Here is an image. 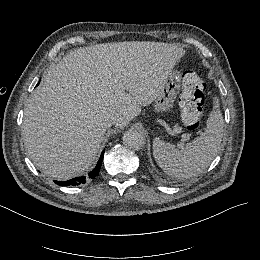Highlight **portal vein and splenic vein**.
<instances>
[{
    "mask_svg": "<svg viewBox=\"0 0 260 260\" xmlns=\"http://www.w3.org/2000/svg\"><path fill=\"white\" fill-rule=\"evenodd\" d=\"M183 132V128L182 127H179V128H175L174 130V133H182ZM181 137H182V141H187L190 139L191 135L189 133H184V134H181Z\"/></svg>",
    "mask_w": 260,
    "mask_h": 260,
    "instance_id": "portal-vein-and-splenic-vein-1",
    "label": "portal vein and splenic vein"
}]
</instances>
